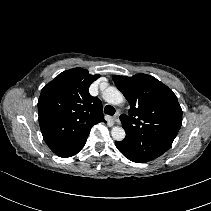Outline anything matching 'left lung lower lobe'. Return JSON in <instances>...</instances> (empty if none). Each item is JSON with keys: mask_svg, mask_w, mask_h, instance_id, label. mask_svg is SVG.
<instances>
[{"mask_svg": "<svg viewBox=\"0 0 211 211\" xmlns=\"http://www.w3.org/2000/svg\"><path fill=\"white\" fill-rule=\"evenodd\" d=\"M116 147L118 148V150L129 160L133 161V162H137V163H143L145 161L138 159L137 157H135L134 155L130 154L128 152V150H126V148L118 141L115 142Z\"/></svg>", "mask_w": 211, "mask_h": 211, "instance_id": "left-lung-lower-lobe-1", "label": "left lung lower lobe"}]
</instances>
